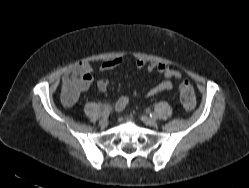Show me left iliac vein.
<instances>
[{
  "instance_id": "left-iliac-vein-1",
  "label": "left iliac vein",
  "mask_w": 249,
  "mask_h": 188,
  "mask_svg": "<svg viewBox=\"0 0 249 188\" xmlns=\"http://www.w3.org/2000/svg\"><path fill=\"white\" fill-rule=\"evenodd\" d=\"M142 120L148 126H157V121L155 118H150L148 116H142Z\"/></svg>"
}]
</instances>
